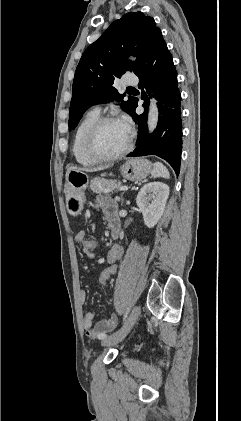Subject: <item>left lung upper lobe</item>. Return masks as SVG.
<instances>
[{
  "mask_svg": "<svg viewBox=\"0 0 241 421\" xmlns=\"http://www.w3.org/2000/svg\"><path fill=\"white\" fill-rule=\"evenodd\" d=\"M161 32L155 21L142 12H129L113 22L105 33L83 53L77 66L69 108V130L74 129L84 112L92 105L121 102V108L131 114L135 98L119 94L113 87L116 77L126 71L136 74L156 35ZM140 62H131L128 55Z\"/></svg>",
  "mask_w": 241,
  "mask_h": 421,
  "instance_id": "5c2ea615",
  "label": "left lung upper lobe"
}]
</instances>
